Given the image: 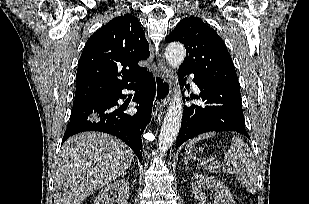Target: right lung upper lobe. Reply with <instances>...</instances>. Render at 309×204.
<instances>
[{
	"label": "right lung upper lobe",
	"mask_w": 309,
	"mask_h": 204,
	"mask_svg": "<svg viewBox=\"0 0 309 204\" xmlns=\"http://www.w3.org/2000/svg\"><path fill=\"white\" fill-rule=\"evenodd\" d=\"M150 56L148 41L136 17L112 19L86 42L76 75L74 103L100 97L139 80L147 70L138 62Z\"/></svg>",
	"instance_id": "1"
}]
</instances>
